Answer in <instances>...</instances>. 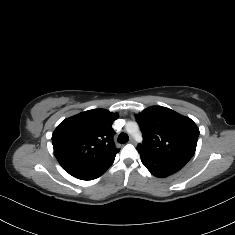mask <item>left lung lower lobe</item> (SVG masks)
Listing matches in <instances>:
<instances>
[{
    "label": "left lung lower lobe",
    "mask_w": 235,
    "mask_h": 235,
    "mask_svg": "<svg viewBox=\"0 0 235 235\" xmlns=\"http://www.w3.org/2000/svg\"><path fill=\"white\" fill-rule=\"evenodd\" d=\"M140 156L144 166L151 172L152 175L159 178L168 177L178 172L185 166L175 161L156 158L145 154H140Z\"/></svg>",
    "instance_id": "1"
}]
</instances>
